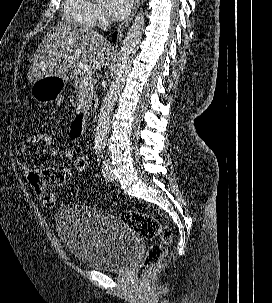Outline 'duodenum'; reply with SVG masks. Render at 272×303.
Masks as SVG:
<instances>
[{"mask_svg": "<svg viewBox=\"0 0 272 303\" xmlns=\"http://www.w3.org/2000/svg\"><path fill=\"white\" fill-rule=\"evenodd\" d=\"M95 104L93 103L89 109V111H93L95 109ZM89 112L87 110H79L76 113L75 119H74V129L77 134V136H81L84 132L87 118H88Z\"/></svg>", "mask_w": 272, "mask_h": 303, "instance_id": "410a0bca", "label": "duodenum"}]
</instances>
